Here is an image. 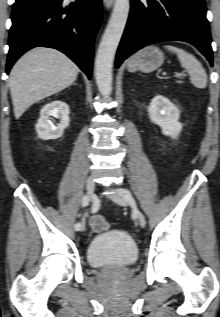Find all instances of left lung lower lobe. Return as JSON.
<instances>
[{
    "label": "left lung lower lobe",
    "mask_w": 220,
    "mask_h": 317,
    "mask_svg": "<svg viewBox=\"0 0 220 317\" xmlns=\"http://www.w3.org/2000/svg\"><path fill=\"white\" fill-rule=\"evenodd\" d=\"M165 40L193 44L213 64L204 0H131L116 67L142 47Z\"/></svg>",
    "instance_id": "left-lung-lower-lobe-1"
}]
</instances>
